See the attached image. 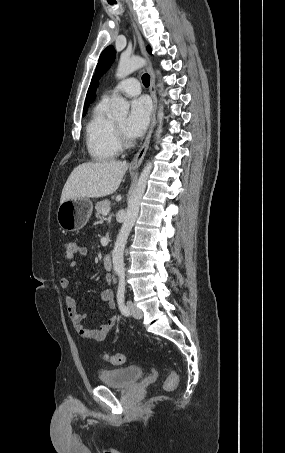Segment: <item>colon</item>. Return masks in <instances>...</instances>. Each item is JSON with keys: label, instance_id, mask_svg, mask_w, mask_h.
I'll list each match as a JSON object with an SVG mask.
<instances>
[{"label": "colon", "instance_id": "colon-1", "mask_svg": "<svg viewBox=\"0 0 285 453\" xmlns=\"http://www.w3.org/2000/svg\"><path fill=\"white\" fill-rule=\"evenodd\" d=\"M64 258L72 261L80 250L79 244L73 238H66L63 241ZM105 359L113 365H121L124 362V356L121 353L105 355ZM178 375L174 370H170L164 383V389L167 391L173 390L178 384Z\"/></svg>", "mask_w": 285, "mask_h": 453}]
</instances>
